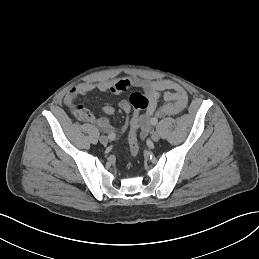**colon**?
<instances>
[{
  "label": "colon",
  "mask_w": 259,
  "mask_h": 259,
  "mask_svg": "<svg viewBox=\"0 0 259 259\" xmlns=\"http://www.w3.org/2000/svg\"><path fill=\"white\" fill-rule=\"evenodd\" d=\"M129 103L133 108V115L130 121L129 131V150L133 157H136L139 152V144L137 131L140 126L141 111L146 110L149 105L148 98L142 93H133L129 98ZM74 113L78 119L85 120L86 110L80 106H76Z\"/></svg>",
  "instance_id": "1"
}]
</instances>
